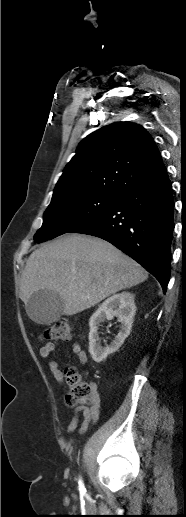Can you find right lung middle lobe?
Segmentation results:
<instances>
[{
    "mask_svg": "<svg viewBox=\"0 0 186 517\" xmlns=\"http://www.w3.org/2000/svg\"><path fill=\"white\" fill-rule=\"evenodd\" d=\"M120 196L80 193L52 199L42 227L34 235L37 243L70 232L76 226L114 205Z\"/></svg>",
    "mask_w": 186,
    "mask_h": 517,
    "instance_id": "1",
    "label": "right lung middle lobe"
}]
</instances>
